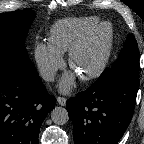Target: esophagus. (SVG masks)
<instances>
[{
	"label": "esophagus",
	"mask_w": 144,
	"mask_h": 144,
	"mask_svg": "<svg viewBox=\"0 0 144 144\" xmlns=\"http://www.w3.org/2000/svg\"><path fill=\"white\" fill-rule=\"evenodd\" d=\"M57 102H58L61 106H65V105H66V98H64V97H57Z\"/></svg>",
	"instance_id": "1"
}]
</instances>
